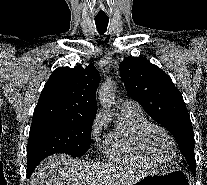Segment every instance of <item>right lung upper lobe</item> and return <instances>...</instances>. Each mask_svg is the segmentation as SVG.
Here are the masks:
<instances>
[{
	"mask_svg": "<svg viewBox=\"0 0 207 185\" xmlns=\"http://www.w3.org/2000/svg\"><path fill=\"white\" fill-rule=\"evenodd\" d=\"M100 75L93 64L59 67L45 84L33 116H56L93 123Z\"/></svg>",
	"mask_w": 207,
	"mask_h": 185,
	"instance_id": "obj_1",
	"label": "right lung upper lobe"
}]
</instances>
